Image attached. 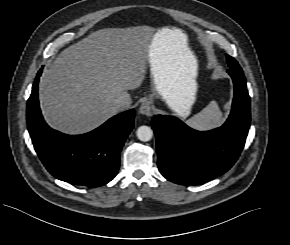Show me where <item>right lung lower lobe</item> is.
I'll return each instance as SVG.
<instances>
[{
	"label": "right lung lower lobe",
	"mask_w": 290,
	"mask_h": 245,
	"mask_svg": "<svg viewBox=\"0 0 290 245\" xmlns=\"http://www.w3.org/2000/svg\"><path fill=\"white\" fill-rule=\"evenodd\" d=\"M37 73L27 101V126L34 148L57 179L76 185L102 186L117 174L120 151L134 126V109L120 113L83 135H66L44 121L38 102Z\"/></svg>",
	"instance_id": "obj_1"
}]
</instances>
